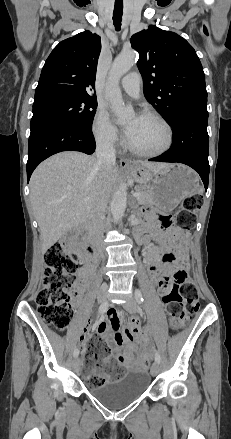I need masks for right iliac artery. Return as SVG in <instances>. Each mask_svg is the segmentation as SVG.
I'll use <instances>...</instances> for the list:
<instances>
[{
	"instance_id": "1",
	"label": "right iliac artery",
	"mask_w": 231,
	"mask_h": 439,
	"mask_svg": "<svg viewBox=\"0 0 231 439\" xmlns=\"http://www.w3.org/2000/svg\"><path fill=\"white\" fill-rule=\"evenodd\" d=\"M107 308H108V303L105 302L104 304H102V305L99 307V313H100V314L104 313V312L107 310ZM73 354H74V357H77V356L79 355V349H78V348H75Z\"/></svg>"
}]
</instances>
